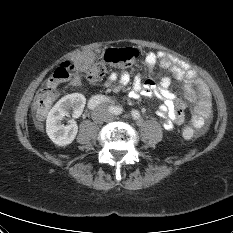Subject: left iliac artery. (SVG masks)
Returning <instances> with one entry per match:
<instances>
[{
    "instance_id": "44dca946",
    "label": "left iliac artery",
    "mask_w": 233,
    "mask_h": 233,
    "mask_svg": "<svg viewBox=\"0 0 233 233\" xmlns=\"http://www.w3.org/2000/svg\"><path fill=\"white\" fill-rule=\"evenodd\" d=\"M109 111H110L112 114L120 115V114H122L123 109H122V107H120V106H110V107H109ZM131 113H132V117H133L134 119H139L140 114H139L136 110H133Z\"/></svg>"
}]
</instances>
